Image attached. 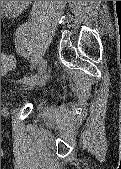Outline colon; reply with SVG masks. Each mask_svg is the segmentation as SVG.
I'll return each instance as SVG.
<instances>
[{
	"mask_svg": "<svg viewBox=\"0 0 121 169\" xmlns=\"http://www.w3.org/2000/svg\"><path fill=\"white\" fill-rule=\"evenodd\" d=\"M15 67V58L13 55L4 53L1 57V73L5 74L6 72L14 69Z\"/></svg>",
	"mask_w": 121,
	"mask_h": 169,
	"instance_id": "obj_1",
	"label": "colon"
}]
</instances>
